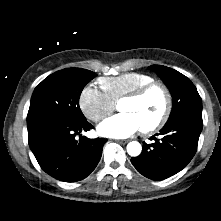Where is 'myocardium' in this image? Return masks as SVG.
<instances>
[{
	"label": "myocardium",
	"mask_w": 221,
	"mask_h": 221,
	"mask_svg": "<svg viewBox=\"0 0 221 221\" xmlns=\"http://www.w3.org/2000/svg\"><path fill=\"white\" fill-rule=\"evenodd\" d=\"M154 90H159L163 95L164 98L163 112L155 122H153L150 125L142 127V132L145 134L153 133L161 129L168 122L170 118L172 112V95L168 87L161 82L153 81L126 94L120 99V102L124 100H139L144 98L146 95H148L150 92Z\"/></svg>",
	"instance_id": "f54148a6"
}]
</instances>
